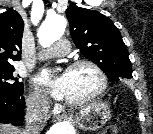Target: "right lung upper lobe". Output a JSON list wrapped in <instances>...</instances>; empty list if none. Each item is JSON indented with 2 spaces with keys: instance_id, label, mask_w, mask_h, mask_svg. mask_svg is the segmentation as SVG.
<instances>
[{
  "instance_id": "1",
  "label": "right lung upper lobe",
  "mask_w": 153,
  "mask_h": 134,
  "mask_svg": "<svg viewBox=\"0 0 153 134\" xmlns=\"http://www.w3.org/2000/svg\"><path fill=\"white\" fill-rule=\"evenodd\" d=\"M24 22L12 8L0 14V67L20 60Z\"/></svg>"
}]
</instances>
